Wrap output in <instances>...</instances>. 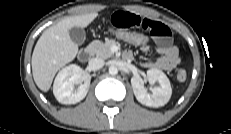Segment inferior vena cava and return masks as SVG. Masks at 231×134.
I'll return each mask as SVG.
<instances>
[{"instance_id": "602c4592", "label": "inferior vena cava", "mask_w": 231, "mask_h": 134, "mask_svg": "<svg viewBox=\"0 0 231 134\" xmlns=\"http://www.w3.org/2000/svg\"><path fill=\"white\" fill-rule=\"evenodd\" d=\"M105 62L102 58H92L89 60V67L92 70H98L104 66Z\"/></svg>"}]
</instances>
